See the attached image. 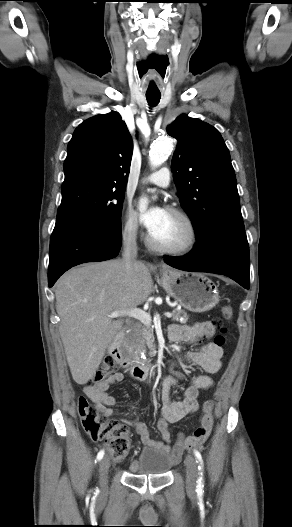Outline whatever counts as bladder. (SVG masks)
Masks as SVG:
<instances>
[{
	"label": "bladder",
	"mask_w": 292,
	"mask_h": 527,
	"mask_svg": "<svg viewBox=\"0 0 292 527\" xmlns=\"http://www.w3.org/2000/svg\"><path fill=\"white\" fill-rule=\"evenodd\" d=\"M171 466L172 461L167 454L159 449L147 448L131 462L130 469L134 474L163 475Z\"/></svg>",
	"instance_id": "31cf9c89"
}]
</instances>
